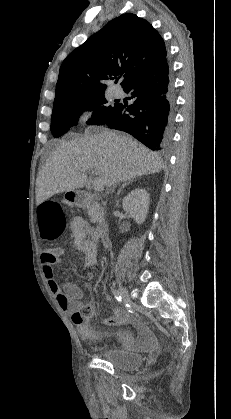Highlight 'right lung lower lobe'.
I'll use <instances>...</instances> for the list:
<instances>
[{"mask_svg": "<svg viewBox=\"0 0 231 419\" xmlns=\"http://www.w3.org/2000/svg\"><path fill=\"white\" fill-rule=\"evenodd\" d=\"M134 103L118 104L100 125L130 133L152 150H165L173 131L174 89L164 59L123 88Z\"/></svg>", "mask_w": 231, "mask_h": 419, "instance_id": "obj_1", "label": "right lung lower lobe"}]
</instances>
